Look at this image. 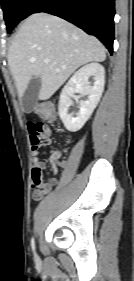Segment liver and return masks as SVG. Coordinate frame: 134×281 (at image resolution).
Here are the masks:
<instances>
[{
    "mask_svg": "<svg viewBox=\"0 0 134 281\" xmlns=\"http://www.w3.org/2000/svg\"><path fill=\"white\" fill-rule=\"evenodd\" d=\"M7 58L19 98L35 77L41 80L38 98L47 100L78 67L104 61L106 50L96 37L64 19L41 12L25 19ZM45 59L49 62L45 63Z\"/></svg>",
    "mask_w": 134,
    "mask_h": 281,
    "instance_id": "1",
    "label": "liver"
}]
</instances>
